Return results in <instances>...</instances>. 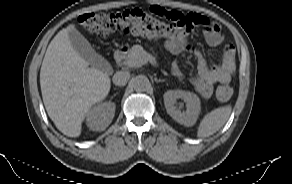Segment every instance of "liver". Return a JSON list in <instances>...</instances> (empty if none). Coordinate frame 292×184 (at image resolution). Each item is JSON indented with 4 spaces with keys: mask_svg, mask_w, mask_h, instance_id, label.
I'll return each instance as SVG.
<instances>
[{
    "mask_svg": "<svg viewBox=\"0 0 292 184\" xmlns=\"http://www.w3.org/2000/svg\"><path fill=\"white\" fill-rule=\"evenodd\" d=\"M71 30H76L74 24L50 42L40 70V86L46 111L57 129L78 137L92 105L108 95L111 81L108 74L90 68L74 50L68 36Z\"/></svg>",
    "mask_w": 292,
    "mask_h": 184,
    "instance_id": "1",
    "label": "liver"
}]
</instances>
